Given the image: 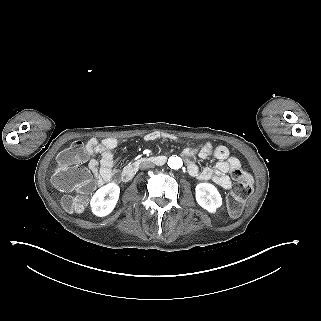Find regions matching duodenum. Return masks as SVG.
I'll list each match as a JSON object with an SVG mask.
<instances>
[{"instance_id":"410a0bca","label":"duodenum","mask_w":321,"mask_h":321,"mask_svg":"<svg viewBox=\"0 0 321 321\" xmlns=\"http://www.w3.org/2000/svg\"><path fill=\"white\" fill-rule=\"evenodd\" d=\"M165 161H166V157L162 155L145 156V157L138 158L123 169L121 173V179L125 182L130 181L142 163H152L156 165H163Z\"/></svg>"}]
</instances>
